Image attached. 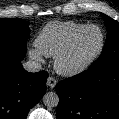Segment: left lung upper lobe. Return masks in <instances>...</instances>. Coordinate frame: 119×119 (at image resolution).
I'll use <instances>...</instances> for the list:
<instances>
[{
  "mask_svg": "<svg viewBox=\"0 0 119 119\" xmlns=\"http://www.w3.org/2000/svg\"><path fill=\"white\" fill-rule=\"evenodd\" d=\"M107 28V40L100 57L92 65L104 68L119 61V23L105 14H101Z\"/></svg>",
  "mask_w": 119,
  "mask_h": 119,
  "instance_id": "obj_1",
  "label": "left lung upper lobe"
}]
</instances>
